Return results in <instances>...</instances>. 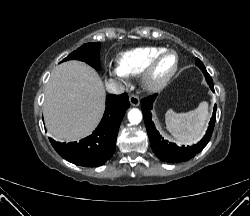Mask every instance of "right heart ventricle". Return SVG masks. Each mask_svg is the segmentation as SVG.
Here are the masks:
<instances>
[{
  "label": "right heart ventricle",
  "mask_w": 250,
  "mask_h": 216,
  "mask_svg": "<svg viewBox=\"0 0 250 216\" xmlns=\"http://www.w3.org/2000/svg\"><path fill=\"white\" fill-rule=\"evenodd\" d=\"M165 50L160 46H145L124 52L119 57V69L127 75H140L159 52Z\"/></svg>",
  "instance_id": "e07e8e85"
}]
</instances>
